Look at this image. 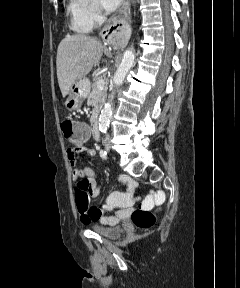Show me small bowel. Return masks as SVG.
<instances>
[{
    "label": "small bowel",
    "mask_w": 240,
    "mask_h": 288,
    "mask_svg": "<svg viewBox=\"0 0 240 288\" xmlns=\"http://www.w3.org/2000/svg\"><path fill=\"white\" fill-rule=\"evenodd\" d=\"M86 138L78 143H75L72 148L67 150L68 160L71 165L76 163V154L83 153L87 156H94L96 151L94 148L86 147L85 142L88 139V129L86 126ZM74 180H79L75 185V201L80 219L84 224L101 222L109 225H114L122 218L129 215L132 209L133 188L130 187L127 192L115 191L112 192L106 203L101 207L89 205V199L97 197L101 191V185L98 182L96 172L90 167L76 168L72 172ZM126 182V180H123ZM113 208L119 210L112 215L106 213Z\"/></svg>",
    "instance_id": "c3829d8e"
}]
</instances>
